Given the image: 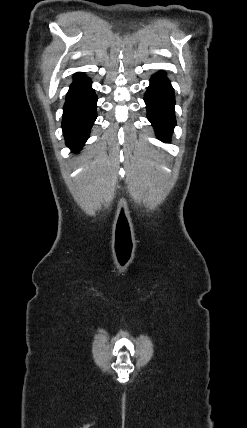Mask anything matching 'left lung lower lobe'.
<instances>
[{"label": "left lung lower lobe", "instance_id": "left-lung-lower-lobe-1", "mask_svg": "<svg viewBox=\"0 0 247 428\" xmlns=\"http://www.w3.org/2000/svg\"><path fill=\"white\" fill-rule=\"evenodd\" d=\"M144 101L148 111L147 117L155 129L158 139L169 142L176 125L175 98L170 81L163 72L151 78Z\"/></svg>", "mask_w": 247, "mask_h": 428}]
</instances>
